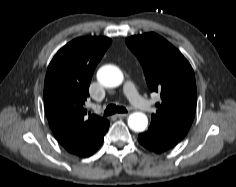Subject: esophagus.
Segmentation results:
<instances>
[{"mask_svg":"<svg viewBox=\"0 0 236 187\" xmlns=\"http://www.w3.org/2000/svg\"><path fill=\"white\" fill-rule=\"evenodd\" d=\"M117 118H124V117H127L128 114L127 113H119V114H116L115 115Z\"/></svg>","mask_w":236,"mask_h":187,"instance_id":"1","label":"esophagus"}]
</instances>
